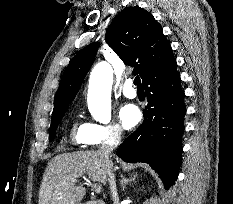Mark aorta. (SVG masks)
I'll list each match as a JSON object with an SVG mask.
<instances>
[{
  "mask_svg": "<svg viewBox=\"0 0 233 204\" xmlns=\"http://www.w3.org/2000/svg\"><path fill=\"white\" fill-rule=\"evenodd\" d=\"M113 70L107 62L94 66L88 86V109L94 120L107 124L111 120Z\"/></svg>",
  "mask_w": 233,
  "mask_h": 204,
  "instance_id": "obj_1",
  "label": "aorta"
}]
</instances>
